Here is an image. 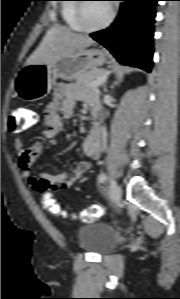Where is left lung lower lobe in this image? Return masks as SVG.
<instances>
[{
  "label": "left lung lower lobe",
  "mask_w": 180,
  "mask_h": 299,
  "mask_svg": "<svg viewBox=\"0 0 180 299\" xmlns=\"http://www.w3.org/2000/svg\"><path fill=\"white\" fill-rule=\"evenodd\" d=\"M120 12L113 24L90 36L106 47L122 64L152 68V39L155 6L159 0H121Z\"/></svg>",
  "instance_id": "left-lung-lower-lobe-1"
}]
</instances>
